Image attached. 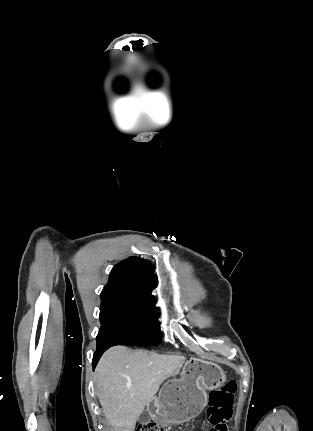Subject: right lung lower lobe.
I'll list each match as a JSON object with an SVG mask.
<instances>
[{
	"instance_id": "right-lung-lower-lobe-1",
	"label": "right lung lower lobe",
	"mask_w": 313,
	"mask_h": 431,
	"mask_svg": "<svg viewBox=\"0 0 313 431\" xmlns=\"http://www.w3.org/2000/svg\"><path fill=\"white\" fill-rule=\"evenodd\" d=\"M110 347H112V345H102V346L97 347V350L94 353V357H93V361H92L93 370L95 369V367H96L100 357L102 356V354Z\"/></svg>"
}]
</instances>
